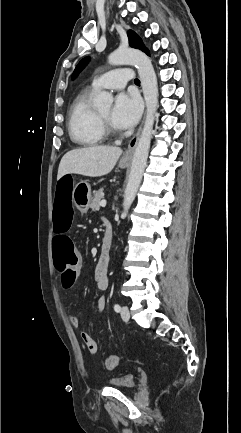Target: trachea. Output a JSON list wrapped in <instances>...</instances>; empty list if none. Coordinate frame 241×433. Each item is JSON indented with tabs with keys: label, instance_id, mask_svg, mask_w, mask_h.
<instances>
[{
	"label": "trachea",
	"instance_id": "3493384b",
	"mask_svg": "<svg viewBox=\"0 0 241 433\" xmlns=\"http://www.w3.org/2000/svg\"><path fill=\"white\" fill-rule=\"evenodd\" d=\"M135 83H136V84H140L139 79H135Z\"/></svg>",
	"mask_w": 241,
	"mask_h": 433
}]
</instances>
